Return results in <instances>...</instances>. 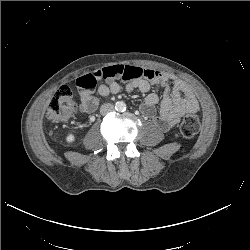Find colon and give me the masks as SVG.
<instances>
[{
  "label": "colon",
  "instance_id": "colon-1",
  "mask_svg": "<svg viewBox=\"0 0 250 250\" xmlns=\"http://www.w3.org/2000/svg\"><path fill=\"white\" fill-rule=\"evenodd\" d=\"M74 88L71 86L60 87L51 99L46 116L50 121L60 122L67 120L77 108L74 101ZM200 128V122L196 115H186L179 126L181 135L187 139L195 137Z\"/></svg>",
  "mask_w": 250,
  "mask_h": 250
}]
</instances>
